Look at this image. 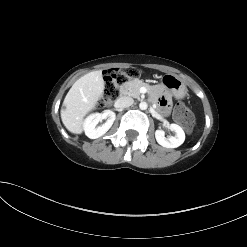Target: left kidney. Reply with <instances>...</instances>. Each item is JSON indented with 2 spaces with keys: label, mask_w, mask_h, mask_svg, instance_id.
<instances>
[{
  "label": "left kidney",
  "mask_w": 247,
  "mask_h": 247,
  "mask_svg": "<svg viewBox=\"0 0 247 247\" xmlns=\"http://www.w3.org/2000/svg\"><path fill=\"white\" fill-rule=\"evenodd\" d=\"M169 129L176 133L175 136H170L166 138L164 131L156 130L155 138L158 144L166 148H177L185 141V133L183 129L177 124H170Z\"/></svg>",
  "instance_id": "1"
}]
</instances>
